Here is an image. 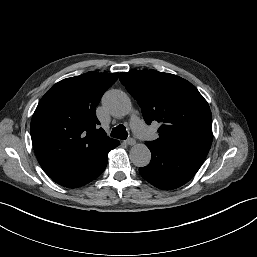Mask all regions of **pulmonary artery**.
Returning <instances> with one entry per match:
<instances>
[{
    "mask_svg": "<svg viewBox=\"0 0 257 257\" xmlns=\"http://www.w3.org/2000/svg\"><path fill=\"white\" fill-rule=\"evenodd\" d=\"M131 127L135 134L144 135L146 134V126L138 116H133L130 121Z\"/></svg>",
    "mask_w": 257,
    "mask_h": 257,
    "instance_id": "obj_1",
    "label": "pulmonary artery"
}]
</instances>
